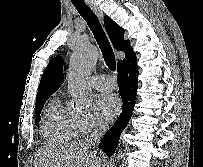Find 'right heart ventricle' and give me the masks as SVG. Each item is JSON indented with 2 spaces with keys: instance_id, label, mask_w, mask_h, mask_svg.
<instances>
[{
  "instance_id": "right-heart-ventricle-1",
  "label": "right heart ventricle",
  "mask_w": 203,
  "mask_h": 167,
  "mask_svg": "<svg viewBox=\"0 0 203 167\" xmlns=\"http://www.w3.org/2000/svg\"><path fill=\"white\" fill-rule=\"evenodd\" d=\"M44 137L53 143H65L73 140L79 133L76 112L55 98L48 104L43 120Z\"/></svg>"
}]
</instances>
